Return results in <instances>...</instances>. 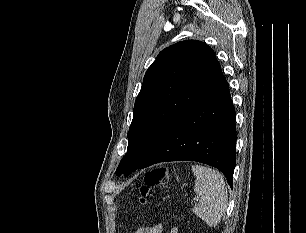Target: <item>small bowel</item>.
<instances>
[{
	"instance_id": "obj_1",
	"label": "small bowel",
	"mask_w": 306,
	"mask_h": 233,
	"mask_svg": "<svg viewBox=\"0 0 306 233\" xmlns=\"http://www.w3.org/2000/svg\"><path fill=\"white\" fill-rule=\"evenodd\" d=\"M162 231H163L162 224H156L153 226L140 227L139 229L136 230L135 233H162ZM169 233H178V229L176 227H173Z\"/></svg>"
}]
</instances>
